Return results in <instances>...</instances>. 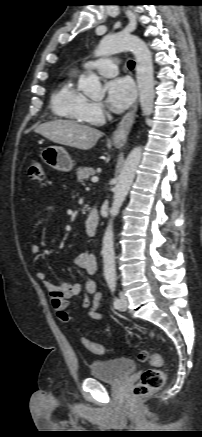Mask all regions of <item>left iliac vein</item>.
<instances>
[{
    "instance_id": "1",
    "label": "left iliac vein",
    "mask_w": 202,
    "mask_h": 437,
    "mask_svg": "<svg viewBox=\"0 0 202 437\" xmlns=\"http://www.w3.org/2000/svg\"><path fill=\"white\" fill-rule=\"evenodd\" d=\"M128 300L123 292H120V307L119 309L125 311L127 309Z\"/></svg>"
}]
</instances>
